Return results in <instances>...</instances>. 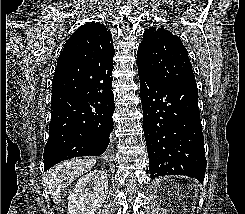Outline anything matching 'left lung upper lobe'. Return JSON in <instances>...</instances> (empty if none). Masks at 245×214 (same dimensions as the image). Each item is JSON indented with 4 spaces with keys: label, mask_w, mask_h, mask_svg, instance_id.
<instances>
[{
    "label": "left lung upper lobe",
    "mask_w": 245,
    "mask_h": 214,
    "mask_svg": "<svg viewBox=\"0 0 245 214\" xmlns=\"http://www.w3.org/2000/svg\"><path fill=\"white\" fill-rule=\"evenodd\" d=\"M138 72L159 82L197 87L182 41L164 28L145 30L137 52Z\"/></svg>",
    "instance_id": "obj_1"
}]
</instances>
